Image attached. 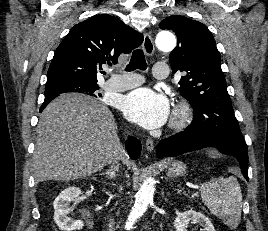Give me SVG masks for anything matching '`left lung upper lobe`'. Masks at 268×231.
<instances>
[{"label": "left lung upper lobe", "mask_w": 268, "mask_h": 231, "mask_svg": "<svg viewBox=\"0 0 268 231\" xmlns=\"http://www.w3.org/2000/svg\"><path fill=\"white\" fill-rule=\"evenodd\" d=\"M159 27L174 31L178 38L169 62L174 73L186 72L179 81V91L193 107L194 119L185 130L247 147L234 115L211 32L204 24L181 15L165 18Z\"/></svg>", "instance_id": "1"}]
</instances>
